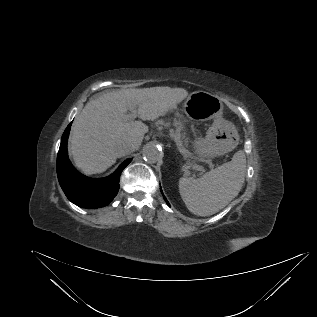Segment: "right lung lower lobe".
Here are the masks:
<instances>
[{
    "label": "right lung lower lobe",
    "instance_id": "1",
    "mask_svg": "<svg viewBox=\"0 0 317 317\" xmlns=\"http://www.w3.org/2000/svg\"><path fill=\"white\" fill-rule=\"evenodd\" d=\"M71 123L63 133L57 156V176L67 198L75 205L95 209L108 205L119 191V177L131 159L104 179H92L79 173L68 159L67 140Z\"/></svg>",
    "mask_w": 317,
    "mask_h": 317
}]
</instances>
